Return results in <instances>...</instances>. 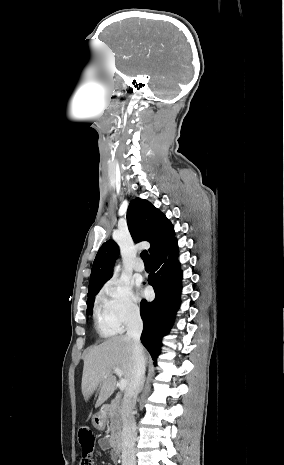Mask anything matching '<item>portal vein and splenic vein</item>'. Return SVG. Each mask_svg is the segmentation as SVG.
Here are the masks:
<instances>
[{"label":"portal vein and splenic vein","instance_id":"portal-vein-and-splenic-vein-1","mask_svg":"<svg viewBox=\"0 0 284 465\" xmlns=\"http://www.w3.org/2000/svg\"><path fill=\"white\" fill-rule=\"evenodd\" d=\"M114 373H116L117 377H119L120 379V383H119V389L120 391H124V389H126L127 387V381H125V379H122L123 377V373L121 371V369H113ZM104 377H107V375H104Z\"/></svg>","mask_w":284,"mask_h":465}]
</instances>
